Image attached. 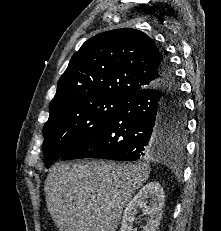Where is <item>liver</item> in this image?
I'll use <instances>...</instances> for the list:
<instances>
[{
	"mask_svg": "<svg viewBox=\"0 0 221 231\" xmlns=\"http://www.w3.org/2000/svg\"><path fill=\"white\" fill-rule=\"evenodd\" d=\"M150 171L147 163H57L45 180L48 211L59 231H116L123 208Z\"/></svg>",
	"mask_w": 221,
	"mask_h": 231,
	"instance_id": "obj_1",
	"label": "liver"
}]
</instances>
